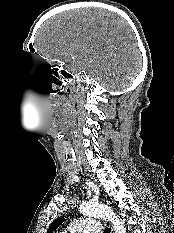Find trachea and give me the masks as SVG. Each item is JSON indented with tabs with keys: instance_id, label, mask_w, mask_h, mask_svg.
Instances as JSON below:
<instances>
[{
	"instance_id": "trachea-1",
	"label": "trachea",
	"mask_w": 174,
	"mask_h": 233,
	"mask_svg": "<svg viewBox=\"0 0 174 233\" xmlns=\"http://www.w3.org/2000/svg\"><path fill=\"white\" fill-rule=\"evenodd\" d=\"M104 233H111V229H110V228H106V229L104 230Z\"/></svg>"
}]
</instances>
